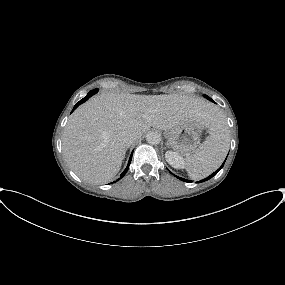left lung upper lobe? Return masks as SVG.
I'll return each mask as SVG.
<instances>
[{"mask_svg":"<svg viewBox=\"0 0 285 285\" xmlns=\"http://www.w3.org/2000/svg\"><path fill=\"white\" fill-rule=\"evenodd\" d=\"M205 98H207V99H209L210 101L213 102V100L210 97H208L207 95H205Z\"/></svg>","mask_w":285,"mask_h":285,"instance_id":"5c2ea615","label":"left lung upper lobe"}]
</instances>
